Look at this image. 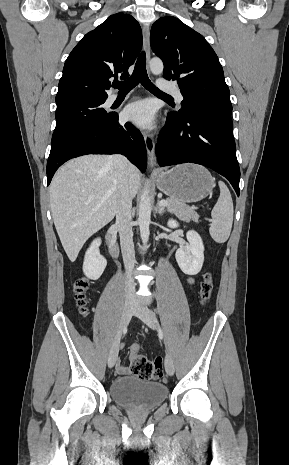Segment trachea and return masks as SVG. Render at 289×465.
<instances>
[{
    "instance_id": "3493384b",
    "label": "trachea",
    "mask_w": 289,
    "mask_h": 465,
    "mask_svg": "<svg viewBox=\"0 0 289 465\" xmlns=\"http://www.w3.org/2000/svg\"><path fill=\"white\" fill-rule=\"evenodd\" d=\"M139 83H141L144 86V88H146L152 93H155V94L167 97V98H172L170 95L160 91L148 78L147 71H146L145 52H142L139 55L137 62L135 64L134 71L132 75L130 76V78L122 82L115 81L113 82L112 86L114 88L119 89L120 92H125V91L132 90Z\"/></svg>"
}]
</instances>
